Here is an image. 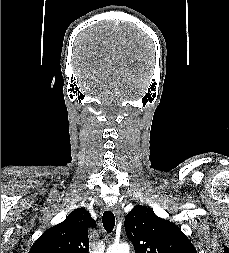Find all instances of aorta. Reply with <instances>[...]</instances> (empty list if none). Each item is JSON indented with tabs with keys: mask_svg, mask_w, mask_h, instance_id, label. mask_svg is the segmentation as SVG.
I'll return each instance as SVG.
<instances>
[{
	"mask_svg": "<svg viewBox=\"0 0 229 253\" xmlns=\"http://www.w3.org/2000/svg\"><path fill=\"white\" fill-rule=\"evenodd\" d=\"M129 252H130L129 245L127 243H122L108 248L106 253H129Z\"/></svg>",
	"mask_w": 229,
	"mask_h": 253,
	"instance_id": "762f6f07",
	"label": "aorta"
}]
</instances>
